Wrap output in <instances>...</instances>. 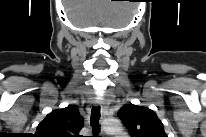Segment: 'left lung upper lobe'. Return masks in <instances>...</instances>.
I'll return each instance as SVG.
<instances>
[{
	"label": "left lung upper lobe",
	"mask_w": 206,
	"mask_h": 137,
	"mask_svg": "<svg viewBox=\"0 0 206 137\" xmlns=\"http://www.w3.org/2000/svg\"><path fill=\"white\" fill-rule=\"evenodd\" d=\"M118 117L132 137H167L162 122L149 108L126 104L118 111Z\"/></svg>",
	"instance_id": "left-lung-upper-lobe-1"
}]
</instances>
